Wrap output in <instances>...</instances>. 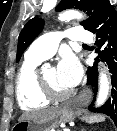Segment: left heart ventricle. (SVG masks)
Segmentation results:
<instances>
[{
    "mask_svg": "<svg viewBox=\"0 0 117 131\" xmlns=\"http://www.w3.org/2000/svg\"><path fill=\"white\" fill-rule=\"evenodd\" d=\"M43 77L46 81L57 91L66 92L69 91L70 88L62 85L58 79L57 69L54 67L48 68L43 72Z\"/></svg>",
    "mask_w": 117,
    "mask_h": 131,
    "instance_id": "left-heart-ventricle-1",
    "label": "left heart ventricle"
}]
</instances>
